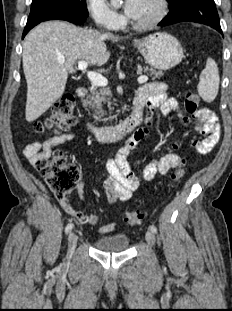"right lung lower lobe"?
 <instances>
[{
    "mask_svg": "<svg viewBox=\"0 0 232 311\" xmlns=\"http://www.w3.org/2000/svg\"><path fill=\"white\" fill-rule=\"evenodd\" d=\"M87 16L62 7H47L39 10L31 11L27 20L26 27L23 32L24 36L37 24L47 20H66L74 24H82L85 22Z\"/></svg>",
    "mask_w": 232,
    "mask_h": 311,
    "instance_id": "right-lung-lower-lobe-1",
    "label": "right lung lower lobe"
}]
</instances>
